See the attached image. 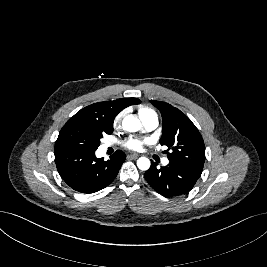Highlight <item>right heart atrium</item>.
Returning a JSON list of instances; mask_svg holds the SVG:
<instances>
[{"label":"right heart atrium","mask_w":267,"mask_h":267,"mask_svg":"<svg viewBox=\"0 0 267 267\" xmlns=\"http://www.w3.org/2000/svg\"><path fill=\"white\" fill-rule=\"evenodd\" d=\"M125 115V111H122L120 112L114 119V126H119L121 121H122V118L124 117Z\"/></svg>","instance_id":"d8ad5b80"}]
</instances>
